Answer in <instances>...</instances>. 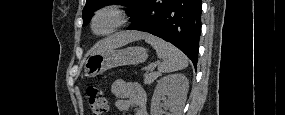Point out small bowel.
I'll return each mask as SVG.
<instances>
[{
	"mask_svg": "<svg viewBox=\"0 0 285 115\" xmlns=\"http://www.w3.org/2000/svg\"><path fill=\"white\" fill-rule=\"evenodd\" d=\"M112 93L117 97L116 107L119 110L134 109L135 115H148L147 95L138 83L116 79L112 83Z\"/></svg>",
	"mask_w": 285,
	"mask_h": 115,
	"instance_id": "1",
	"label": "small bowel"
}]
</instances>
